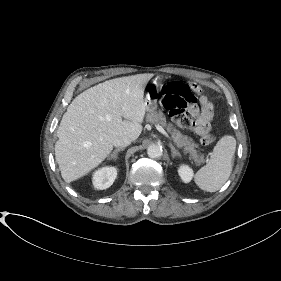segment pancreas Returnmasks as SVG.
I'll list each match as a JSON object with an SVG mask.
<instances>
[{
    "label": "pancreas",
    "instance_id": "cf45deb5",
    "mask_svg": "<svg viewBox=\"0 0 281 281\" xmlns=\"http://www.w3.org/2000/svg\"><path fill=\"white\" fill-rule=\"evenodd\" d=\"M146 121L153 125H160L164 127L167 132L171 135L174 143L178 147H183L184 152L188 153L190 159L194 160L196 164L203 162L204 157L196 150L198 144L193 142L191 137L183 135L179 130H177L171 123H167L166 117L162 111H153L147 114Z\"/></svg>",
    "mask_w": 281,
    "mask_h": 281
}]
</instances>
